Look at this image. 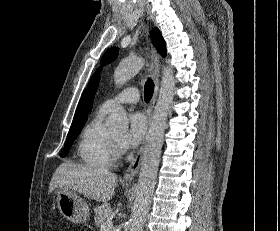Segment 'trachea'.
<instances>
[{
    "label": "trachea",
    "mask_w": 280,
    "mask_h": 231,
    "mask_svg": "<svg viewBox=\"0 0 280 231\" xmlns=\"http://www.w3.org/2000/svg\"><path fill=\"white\" fill-rule=\"evenodd\" d=\"M153 93L154 82L151 80V78H148L144 86V99L146 102H149L151 100Z\"/></svg>",
    "instance_id": "1"
}]
</instances>
